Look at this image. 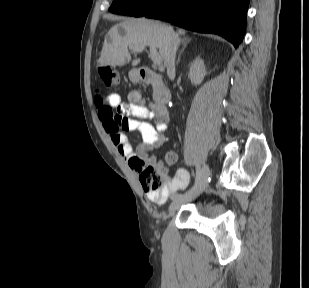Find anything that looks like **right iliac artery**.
<instances>
[{"instance_id":"1","label":"right iliac artery","mask_w":309,"mask_h":288,"mask_svg":"<svg viewBox=\"0 0 309 288\" xmlns=\"http://www.w3.org/2000/svg\"><path fill=\"white\" fill-rule=\"evenodd\" d=\"M197 167H199V166H197ZM195 173H196V179L194 180V183L195 184H198L199 183V180L197 179L198 178V174L200 173V170L199 169H196L195 170ZM194 184V185H195ZM190 188H193V187H190ZM180 193V192H179ZM179 193L178 192H173L172 193V198L173 199H178L179 198Z\"/></svg>"}]
</instances>
